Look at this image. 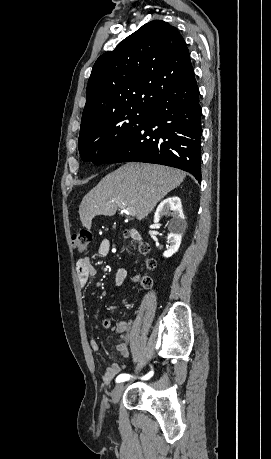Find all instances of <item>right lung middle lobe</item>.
<instances>
[{"label": "right lung middle lobe", "mask_w": 271, "mask_h": 459, "mask_svg": "<svg viewBox=\"0 0 271 459\" xmlns=\"http://www.w3.org/2000/svg\"><path fill=\"white\" fill-rule=\"evenodd\" d=\"M150 108L142 105L81 123L78 143L81 158L97 165L107 163L149 116Z\"/></svg>", "instance_id": "obj_1"}]
</instances>
